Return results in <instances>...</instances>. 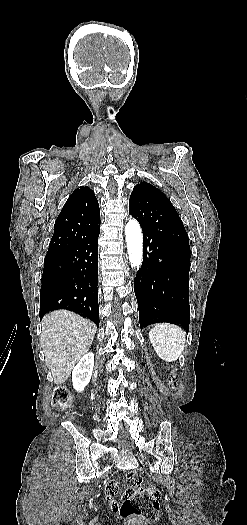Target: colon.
<instances>
[{
    "label": "colon",
    "instance_id": "5ec220e1",
    "mask_svg": "<svg viewBox=\"0 0 247 525\" xmlns=\"http://www.w3.org/2000/svg\"><path fill=\"white\" fill-rule=\"evenodd\" d=\"M177 379L176 374L172 372L168 377V383L174 387ZM72 401L68 390L63 386H57L53 393L54 404L61 408L67 409ZM128 489L121 495L122 504L120 515L130 520L154 523L160 515L159 500L161 492L153 483L143 482L138 472H128L125 478Z\"/></svg>",
    "mask_w": 247,
    "mask_h": 525
}]
</instances>
